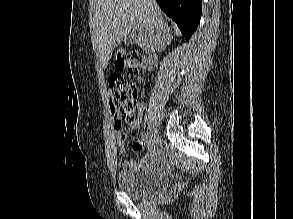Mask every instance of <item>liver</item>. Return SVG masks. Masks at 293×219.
Here are the masks:
<instances>
[{
  "label": "liver",
  "mask_w": 293,
  "mask_h": 219,
  "mask_svg": "<svg viewBox=\"0 0 293 219\" xmlns=\"http://www.w3.org/2000/svg\"><path fill=\"white\" fill-rule=\"evenodd\" d=\"M138 29L135 42L147 53L162 51L171 43L170 29L155 0H97L93 48L103 69L114 49Z\"/></svg>",
  "instance_id": "6515ba94"
}]
</instances>
